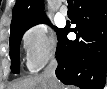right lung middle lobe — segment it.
Masks as SVG:
<instances>
[{
    "label": "right lung middle lobe",
    "mask_w": 107,
    "mask_h": 89,
    "mask_svg": "<svg viewBox=\"0 0 107 89\" xmlns=\"http://www.w3.org/2000/svg\"><path fill=\"white\" fill-rule=\"evenodd\" d=\"M40 23H47L50 24L47 18L40 19L37 21H33L27 24L20 25L15 28H11V35H10V58H11V70L14 73H19L20 68V58H19V47L20 42L22 39L23 34L27 31L30 27L40 24ZM57 32V36L59 35L61 29L55 28Z\"/></svg>",
    "instance_id": "1"
}]
</instances>
